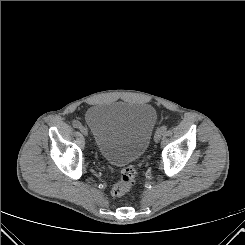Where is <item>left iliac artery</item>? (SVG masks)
<instances>
[{"instance_id":"44dca946","label":"left iliac artery","mask_w":245,"mask_h":245,"mask_svg":"<svg viewBox=\"0 0 245 245\" xmlns=\"http://www.w3.org/2000/svg\"><path fill=\"white\" fill-rule=\"evenodd\" d=\"M167 127H168V126L163 125V126H161L160 128H158L157 131H160L161 133H164V132L167 130Z\"/></svg>"}]
</instances>
